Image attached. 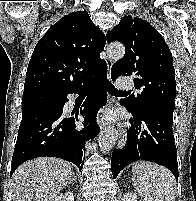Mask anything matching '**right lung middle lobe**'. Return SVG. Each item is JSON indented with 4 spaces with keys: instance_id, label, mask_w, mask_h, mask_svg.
Segmentation results:
<instances>
[{
    "instance_id": "dd1d6c3e",
    "label": "right lung middle lobe",
    "mask_w": 196,
    "mask_h": 201,
    "mask_svg": "<svg viewBox=\"0 0 196 201\" xmlns=\"http://www.w3.org/2000/svg\"><path fill=\"white\" fill-rule=\"evenodd\" d=\"M60 101V97L56 95H34L23 97L22 110L36 106H56Z\"/></svg>"
}]
</instances>
